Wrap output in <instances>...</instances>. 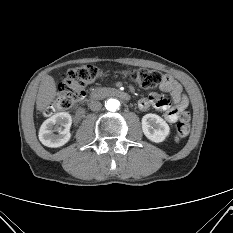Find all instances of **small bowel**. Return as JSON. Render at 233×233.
Masks as SVG:
<instances>
[{
  "mask_svg": "<svg viewBox=\"0 0 233 233\" xmlns=\"http://www.w3.org/2000/svg\"><path fill=\"white\" fill-rule=\"evenodd\" d=\"M160 88L169 93L170 97L164 98L157 93H151L148 97L142 98L138 106L141 110H148L151 107L161 110L164 112L166 122L175 123L187 109L188 98L181 85L170 75L163 77Z\"/></svg>",
  "mask_w": 233,
  "mask_h": 233,
  "instance_id": "obj_1",
  "label": "small bowel"
}]
</instances>
